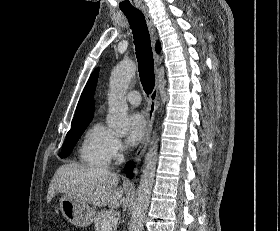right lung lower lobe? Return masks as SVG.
<instances>
[{
	"instance_id": "98d812e1",
	"label": "right lung lower lobe",
	"mask_w": 280,
	"mask_h": 231,
	"mask_svg": "<svg viewBox=\"0 0 280 231\" xmlns=\"http://www.w3.org/2000/svg\"><path fill=\"white\" fill-rule=\"evenodd\" d=\"M131 169H132V163H128L125 167V172L129 177H131V175H132L131 174Z\"/></svg>"
}]
</instances>
